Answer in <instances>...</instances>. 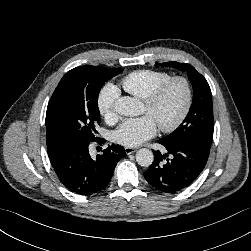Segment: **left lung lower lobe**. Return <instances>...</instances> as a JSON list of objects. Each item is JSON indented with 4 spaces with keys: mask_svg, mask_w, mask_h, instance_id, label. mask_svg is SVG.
Returning <instances> with one entry per match:
<instances>
[{
    "mask_svg": "<svg viewBox=\"0 0 251 251\" xmlns=\"http://www.w3.org/2000/svg\"><path fill=\"white\" fill-rule=\"evenodd\" d=\"M172 155L153 151L154 161L144 173L145 179L155 189L175 193L188 187L204 169L209 156L208 148L195 141L167 145L159 140Z\"/></svg>",
    "mask_w": 251,
    "mask_h": 251,
    "instance_id": "left-lung-lower-lobe-1",
    "label": "left lung lower lobe"
}]
</instances>
